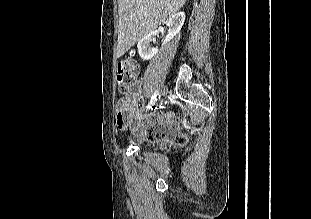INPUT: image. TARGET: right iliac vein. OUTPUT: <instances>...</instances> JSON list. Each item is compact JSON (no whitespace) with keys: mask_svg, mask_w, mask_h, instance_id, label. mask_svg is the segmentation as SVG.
<instances>
[{"mask_svg":"<svg viewBox=\"0 0 311 219\" xmlns=\"http://www.w3.org/2000/svg\"><path fill=\"white\" fill-rule=\"evenodd\" d=\"M166 94H167V88H166V87H163L162 90H161V92H160L159 99H160L161 97L166 96Z\"/></svg>","mask_w":311,"mask_h":219,"instance_id":"right-iliac-vein-1","label":"right iliac vein"}]
</instances>
